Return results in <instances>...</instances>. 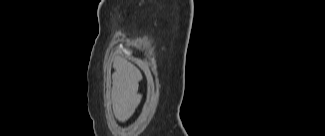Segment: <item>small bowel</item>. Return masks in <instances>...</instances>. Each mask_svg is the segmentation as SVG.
Instances as JSON below:
<instances>
[{
	"instance_id": "1",
	"label": "small bowel",
	"mask_w": 325,
	"mask_h": 136,
	"mask_svg": "<svg viewBox=\"0 0 325 136\" xmlns=\"http://www.w3.org/2000/svg\"><path fill=\"white\" fill-rule=\"evenodd\" d=\"M117 66L119 73L116 75L113 103L119 120L125 121L140 102L141 94L138 90L140 77L121 62H118Z\"/></svg>"
}]
</instances>
